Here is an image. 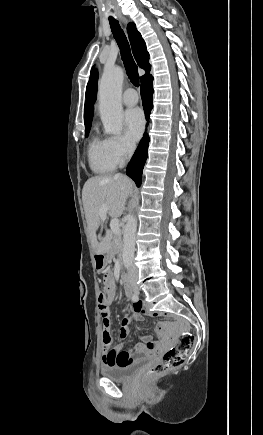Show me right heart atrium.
Wrapping results in <instances>:
<instances>
[{
	"label": "right heart atrium",
	"mask_w": 263,
	"mask_h": 435,
	"mask_svg": "<svg viewBox=\"0 0 263 435\" xmlns=\"http://www.w3.org/2000/svg\"><path fill=\"white\" fill-rule=\"evenodd\" d=\"M110 152L116 164L123 163L133 152V144L123 136L109 138Z\"/></svg>",
	"instance_id": "d8ad5b80"
}]
</instances>
